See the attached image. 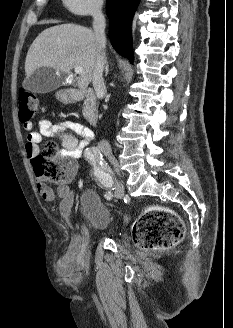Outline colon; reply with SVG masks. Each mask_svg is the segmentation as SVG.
<instances>
[{
  "instance_id": "colon-1",
  "label": "colon",
  "mask_w": 233,
  "mask_h": 328,
  "mask_svg": "<svg viewBox=\"0 0 233 328\" xmlns=\"http://www.w3.org/2000/svg\"><path fill=\"white\" fill-rule=\"evenodd\" d=\"M19 118L27 123L39 112L38 97L27 90H20L18 97ZM57 147L48 142L32 160L36 175L53 183L66 180L71 166H62ZM184 224L180 216L165 207L145 209L134 223L132 236L136 246L144 251H165L177 245L183 238Z\"/></svg>"
}]
</instances>
